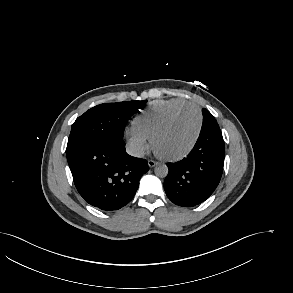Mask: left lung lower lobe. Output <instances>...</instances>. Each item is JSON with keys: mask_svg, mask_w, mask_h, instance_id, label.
<instances>
[{"mask_svg": "<svg viewBox=\"0 0 293 293\" xmlns=\"http://www.w3.org/2000/svg\"><path fill=\"white\" fill-rule=\"evenodd\" d=\"M224 156L220 128L200 132L186 158L167 164L169 173L164 189L168 198L183 207H192L208 199L220 182Z\"/></svg>", "mask_w": 293, "mask_h": 293, "instance_id": "left-lung-lower-lobe-1", "label": "left lung lower lobe"}]
</instances>
